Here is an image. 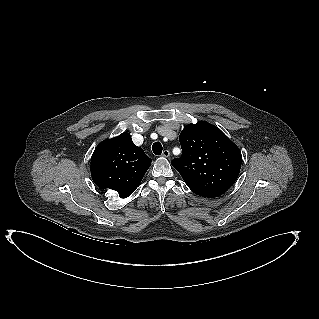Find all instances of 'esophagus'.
I'll return each instance as SVG.
<instances>
[{
  "label": "esophagus",
  "mask_w": 319,
  "mask_h": 319,
  "mask_svg": "<svg viewBox=\"0 0 319 319\" xmlns=\"http://www.w3.org/2000/svg\"><path fill=\"white\" fill-rule=\"evenodd\" d=\"M162 156L168 158L170 156V151L169 150H164L162 152Z\"/></svg>",
  "instance_id": "obj_1"
}]
</instances>
